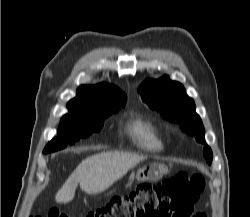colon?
Instances as JSON below:
<instances>
[{"label": "colon", "mask_w": 250, "mask_h": 217, "mask_svg": "<svg viewBox=\"0 0 250 217\" xmlns=\"http://www.w3.org/2000/svg\"><path fill=\"white\" fill-rule=\"evenodd\" d=\"M200 174L179 173L160 183H143L128 194L112 198L85 217H186L204 189ZM48 217H71L51 210ZM195 217H206L200 213Z\"/></svg>", "instance_id": "obj_1"}]
</instances>
